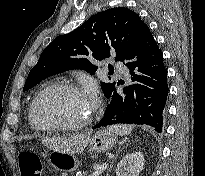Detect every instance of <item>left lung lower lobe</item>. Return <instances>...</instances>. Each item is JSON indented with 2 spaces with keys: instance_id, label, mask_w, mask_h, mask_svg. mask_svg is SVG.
Returning <instances> with one entry per match:
<instances>
[{
  "instance_id": "left-lung-lower-lobe-1",
  "label": "left lung lower lobe",
  "mask_w": 205,
  "mask_h": 176,
  "mask_svg": "<svg viewBox=\"0 0 205 176\" xmlns=\"http://www.w3.org/2000/svg\"><path fill=\"white\" fill-rule=\"evenodd\" d=\"M121 61L126 62L135 84L125 87L122 95L113 88L107 95L104 117L93 129L134 123L150 125L161 132L169 90L167 71L163 54L146 24Z\"/></svg>"
}]
</instances>
